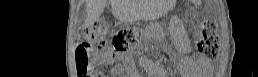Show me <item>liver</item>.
Segmentation results:
<instances>
[{
    "label": "liver",
    "mask_w": 258,
    "mask_h": 77,
    "mask_svg": "<svg viewBox=\"0 0 258 77\" xmlns=\"http://www.w3.org/2000/svg\"><path fill=\"white\" fill-rule=\"evenodd\" d=\"M107 4V0H87V18L86 23L91 24L95 22L103 13ZM112 12L114 16L120 21H130L134 13V8L131 2L125 0H110Z\"/></svg>",
    "instance_id": "1"
}]
</instances>
